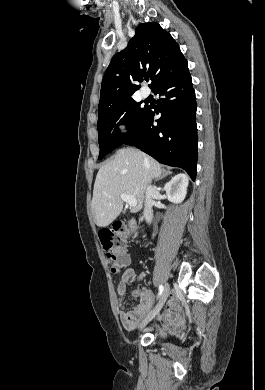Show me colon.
Here are the masks:
<instances>
[{"label": "colon", "instance_id": "5ec220e1", "mask_svg": "<svg viewBox=\"0 0 265 390\" xmlns=\"http://www.w3.org/2000/svg\"><path fill=\"white\" fill-rule=\"evenodd\" d=\"M128 235V228L118 223L112 230L103 232L100 236L101 244L106 250V261L113 273L124 267L126 260L124 248ZM134 294L139 295V292L135 291Z\"/></svg>", "mask_w": 265, "mask_h": 390}]
</instances>
